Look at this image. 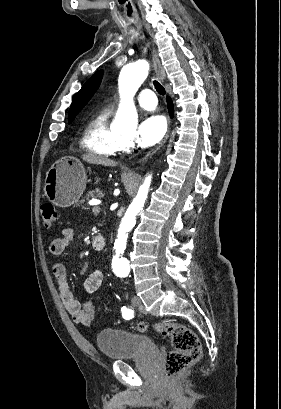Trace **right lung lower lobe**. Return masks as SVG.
<instances>
[{
  "label": "right lung lower lobe",
  "instance_id": "obj_1",
  "mask_svg": "<svg viewBox=\"0 0 281 409\" xmlns=\"http://www.w3.org/2000/svg\"><path fill=\"white\" fill-rule=\"evenodd\" d=\"M167 103H168L169 113L172 116L173 115V104H172V100L169 97L167 98Z\"/></svg>",
  "mask_w": 281,
  "mask_h": 409
}]
</instances>
